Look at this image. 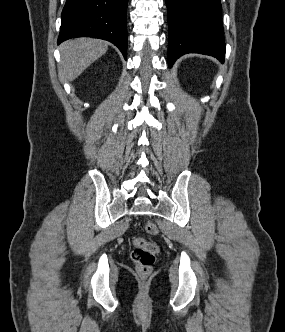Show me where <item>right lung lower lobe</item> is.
Listing matches in <instances>:
<instances>
[{
  "label": "right lung lower lobe",
  "instance_id": "right-lung-lower-lobe-1",
  "mask_svg": "<svg viewBox=\"0 0 285 332\" xmlns=\"http://www.w3.org/2000/svg\"><path fill=\"white\" fill-rule=\"evenodd\" d=\"M128 0H67L57 43L75 37L100 38L127 55Z\"/></svg>",
  "mask_w": 285,
  "mask_h": 332
}]
</instances>
